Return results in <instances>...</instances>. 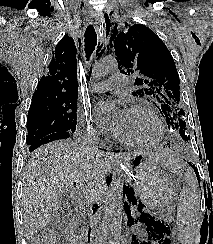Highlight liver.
I'll list each match as a JSON object with an SVG mask.
<instances>
[{
	"label": "liver",
	"instance_id": "liver-1",
	"mask_svg": "<svg viewBox=\"0 0 213 244\" xmlns=\"http://www.w3.org/2000/svg\"><path fill=\"white\" fill-rule=\"evenodd\" d=\"M144 154L166 165L168 156L160 153L128 152L119 156L104 153L71 141H55L37 149L23 175L24 226L27 236L50 223L60 206L64 191L83 190L88 202L106 195V176L117 159L130 161Z\"/></svg>",
	"mask_w": 213,
	"mask_h": 244
}]
</instances>
